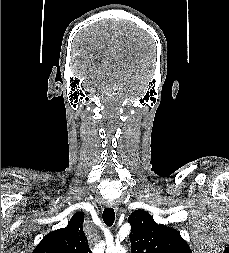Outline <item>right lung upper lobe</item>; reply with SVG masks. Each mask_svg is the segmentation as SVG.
I'll use <instances>...</instances> for the list:
<instances>
[{
	"mask_svg": "<svg viewBox=\"0 0 229 253\" xmlns=\"http://www.w3.org/2000/svg\"><path fill=\"white\" fill-rule=\"evenodd\" d=\"M83 213H76L66 228L47 234L33 253H91L83 232Z\"/></svg>",
	"mask_w": 229,
	"mask_h": 253,
	"instance_id": "right-lung-upper-lobe-1",
	"label": "right lung upper lobe"
}]
</instances>
